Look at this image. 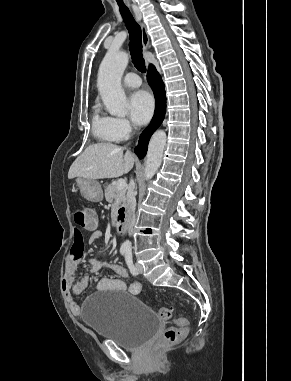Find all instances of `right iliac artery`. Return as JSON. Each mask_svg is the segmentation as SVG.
<instances>
[{"mask_svg":"<svg viewBox=\"0 0 291 381\" xmlns=\"http://www.w3.org/2000/svg\"><path fill=\"white\" fill-rule=\"evenodd\" d=\"M125 253H126V250L122 249L121 254H125Z\"/></svg>","mask_w":291,"mask_h":381,"instance_id":"1","label":"right iliac artery"}]
</instances>
